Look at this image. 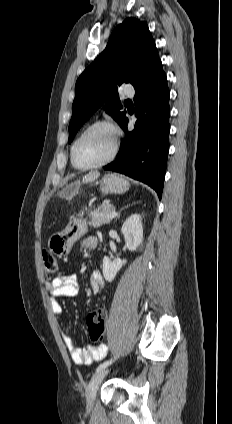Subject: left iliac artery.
I'll use <instances>...</instances> for the list:
<instances>
[{
  "label": "left iliac artery",
  "instance_id": "obj_1",
  "mask_svg": "<svg viewBox=\"0 0 232 424\" xmlns=\"http://www.w3.org/2000/svg\"><path fill=\"white\" fill-rule=\"evenodd\" d=\"M114 359H116V357H114ZM114 359L107 360V361H105V362L101 363V364L97 367L96 372H98V371H100V370H102V369H105L107 366H109V365H110V364L114 361Z\"/></svg>",
  "mask_w": 232,
  "mask_h": 424
}]
</instances>
